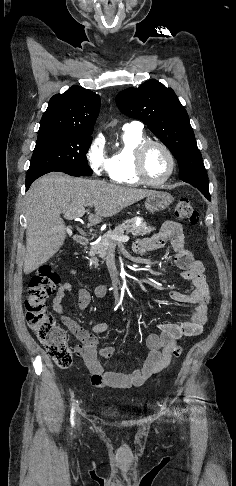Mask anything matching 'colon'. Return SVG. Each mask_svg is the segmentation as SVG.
Instances as JSON below:
<instances>
[{"mask_svg": "<svg viewBox=\"0 0 236 486\" xmlns=\"http://www.w3.org/2000/svg\"><path fill=\"white\" fill-rule=\"evenodd\" d=\"M174 216L177 220L191 224L198 222V212L187 198L177 201ZM60 282L59 275L49 264L42 265L31 277L25 299L26 319L37 339L45 346L54 363L68 367L72 362V352L65 332L59 328L53 315L47 310L46 302L55 293ZM182 349L175 347L173 356L180 357Z\"/></svg>", "mask_w": 236, "mask_h": 486, "instance_id": "obj_1", "label": "colon"}]
</instances>
